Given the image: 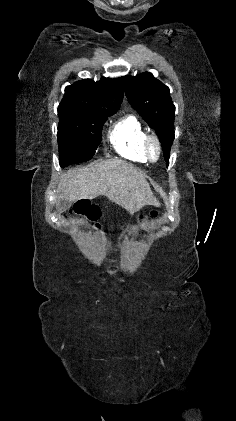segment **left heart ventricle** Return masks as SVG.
<instances>
[{
	"mask_svg": "<svg viewBox=\"0 0 236 421\" xmlns=\"http://www.w3.org/2000/svg\"><path fill=\"white\" fill-rule=\"evenodd\" d=\"M152 155H153V157H154V158H156V157H157V151H156L155 149H153V151H152Z\"/></svg>",
	"mask_w": 236,
	"mask_h": 421,
	"instance_id": "1",
	"label": "left heart ventricle"
}]
</instances>
